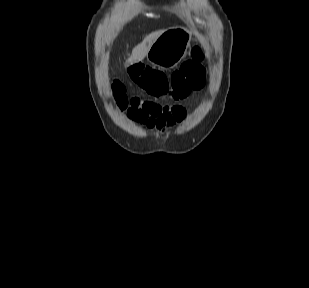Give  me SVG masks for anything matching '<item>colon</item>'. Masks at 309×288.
I'll return each instance as SVG.
<instances>
[{"mask_svg":"<svg viewBox=\"0 0 309 288\" xmlns=\"http://www.w3.org/2000/svg\"><path fill=\"white\" fill-rule=\"evenodd\" d=\"M192 59L184 62L169 77L162 71L144 67L139 63L129 66L130 79L146 89L154 97H168L173 100L185 98L193 90H201L206 84L204 54L199 46L192 49ZM111 89L121 106L127 104L125 86L119 79L111 81Z\"/></svg>","mask_w":309,"mask_h":288,"instance_id":"5ec220e1","label":"colon"}]
</instances>
